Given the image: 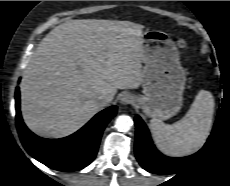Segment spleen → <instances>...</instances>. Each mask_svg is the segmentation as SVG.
Wrapping results in <instances>:
<instances>
[{
    "mask_svg": "<svg viewBox=\"0 0 230 186\" xmlns=\"http://www.w3.org/2000/svg\"><path fill=\"white\" fill-rule=\"evenodd\" d=\"M214 98L201 90L187 114L172 125L153 118L150 128L160 150L171 156H185L198 151L206 142L212 127Z\"/></svg>",
    "mask_w": 230,
    "mask_h": 186,
    "instance_id": "obj_1",
    "label": "spleen"
}]
</instances>
